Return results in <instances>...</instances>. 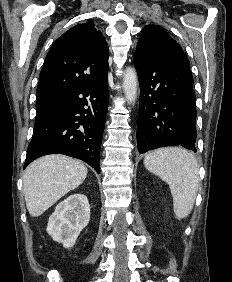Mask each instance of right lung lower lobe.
Listing matches in <instances>:
<instances>
[{
  "instance_id": "right-lung-lower-lobe-1",
  "label": "right lung lower lobe",
  "mask_w": 232,
  "mask_h": 282,
  "mask_svg": "<svg viewBox=\"0 0 232 282\" xmlns=\"http://www.w3.org/2000/svg\"><path fill=\"white\" fill-rule=\"evenodd\" d=\"M108 100L107 76L68 93L52 111L35 120L24 168L41 156L58 153L83 160L100 173Z\"/></svg>"
}]
</instances>
